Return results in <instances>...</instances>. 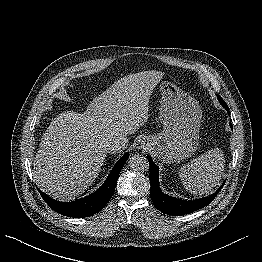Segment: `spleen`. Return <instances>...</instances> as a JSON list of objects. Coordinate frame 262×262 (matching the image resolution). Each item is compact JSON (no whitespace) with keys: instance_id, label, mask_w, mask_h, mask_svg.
Here are the masks:
<instances>
[{"instance_id":"obj_1","label":"spleen","mask_w":262,"mask_h":262,"mask_svg":"<svg viewBox=\"0 0 262 262\" xmlns=\"http://www.w3.org/2000/svg\"><path fill=\"white\" fill-rule=\"evenodd\" d=\"M225 158L219 148L211 149L180 168L184 187L193 194H204L215 187L224 172Z\"/></svg>"}]
</instances>
